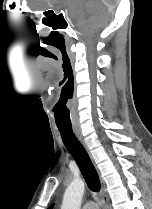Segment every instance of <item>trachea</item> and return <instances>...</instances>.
Returning a JSON list of instances; mask_svg holds the SVG:
<instances>
[{
	"label": "trachea",
	"mask_w": 152,
	"mask_h": 209,
	"mask_svg": "<svg viewBox=\"0 0 152 209\" xmlns=\"http://www.w3.org/2000/svg\"><path fill=\"white\" fill-rule=\"evenodd\" d=\"M64 145L75 159L80 171L87 183L88 188L95 193L100 191V180L98 174L82 144L76 138L72 127H59Z\"/></svg>",
	"instance_id": "trachea-1"
}]
</instances>
